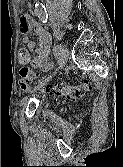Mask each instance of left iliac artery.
Returning a JSON list of instances; mask_svg holds the SVG:
<instances>
[{
    "instance_id": "44dca946",
    "label": "left iliac artery",
    "mask_w": 123,
    "mask_h": 167,
    "mask_svg": "<svg viewBox=\"0 0 123 167\" xmlns=\"http://www.w3.org/2000/svg\"><path fill=\"white\" fill-rule=\"evenodd\" d=\"M53 51H54L55 57H58L60 55L61 51H62V46L61 45L55 46Z\"/></svg>"
}]
</instances>
